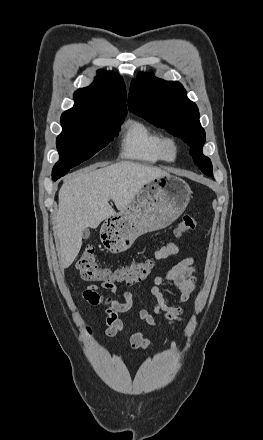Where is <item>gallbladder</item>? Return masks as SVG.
<instances>
[{
  "mask_svg": "<svg viewBox=\"0 0 263 440\" xmlns=\"http://www.w3.org/2000/svg\"><path fill=\"white\" fill-rule=\"evenodd\" d=\"M89 236H90V231H89V229H85V230L83 231L82 237H83L84 239H87V238H89Z\"/></svg>",
  "mask_w": 263,
  "mask_h": 440,
  "instance_id": "1",
  "label": "gallbladder"
}]
</instances>
